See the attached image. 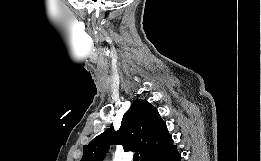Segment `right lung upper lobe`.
<instances>
[{
    "label": "right lung upper lobe",
    "instance_id": "1",
    "mask_svg": "<svg viewBox=\"0 0 261 161\" xmlns=\"http://www.w3.org/2000/svg\"><path fill=\"white\" fill-rule=\"evenodd\" d=\"M172 143L157 109L147 101L135 100L124 114L118 131L111 127L84 145L81 161H102L110 145H122L124 151L137 150L140 161H144Z\"/></svg>",
    "mask_w": 261,
    "mask_h": 161
}]
</instances>
